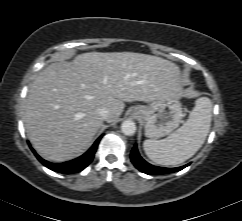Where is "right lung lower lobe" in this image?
Returning a JSON list of instances; mask_svg holds the SVG:
<instances>
[{
  "label": "right lung lower lobe",
  "mask_w": 242,
  "mask_h": 221,
  "mask_svg": "<svg viewBox=\"0 0 242 221\" xmlns=\"http://www.w3.org/2000/svg\"><path fill=\"white\" fill-rule=\"evenodd\" d=\"M101 138H102V136H100L95 141L93 146L82 156H80V157H78V158H76L72 161L64 162V163H61V164L50 163V162L42 159L38 154H36V152L33 149H32V151L36 155L37 159L47 168H49V169H51L55 172L64 173V174H71V173H74V172L82 171L83 169H85L91 163Z\"/></svg>",
  "instance_id": "1"
}]
</instances>
